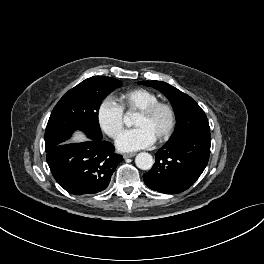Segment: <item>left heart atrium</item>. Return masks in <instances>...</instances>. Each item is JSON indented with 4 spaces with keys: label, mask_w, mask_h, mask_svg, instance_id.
Instances as JSON below:
<instances>
[{
    "label": "left heart atrium",
    "mask_w": 264,
    "mask_h": 264,
    "mask_svg": "<svg viewBox=\"0 0 264 264\" xmlns=\"http://www.w3.org/2000/svg\"><path fill=\"white\" fill-rule=\"evenodd\" d=\"M156 138L144 127H136L125 131L117 140V148L123 152H131L150 147Z\"/></svg>",
    "instance_id": "39dd6f15"
}]
</instances>
